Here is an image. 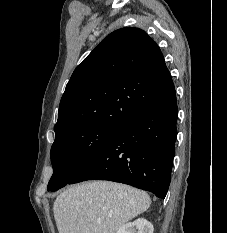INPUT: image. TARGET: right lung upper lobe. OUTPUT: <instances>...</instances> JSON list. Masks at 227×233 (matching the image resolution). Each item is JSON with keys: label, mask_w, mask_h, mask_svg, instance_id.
Listing matches in <instances>:
<instances>
[{"label": "right lung upper lobe", "mask_w": 227, "mask_h": 233, "mask_svg": "<svg viewBox=\"0 0 227 233\" xmlns=\"http://www.w3.org/2000/svg\"><path fill=\"white\" fill-rule=\"evenodd\" d=\"M175 90L159 46L139 28L109 34L74 70L55 136L89 125L120 127Z\"/></svg>", "instance_id": "cb5924a9"}]
</instances>
